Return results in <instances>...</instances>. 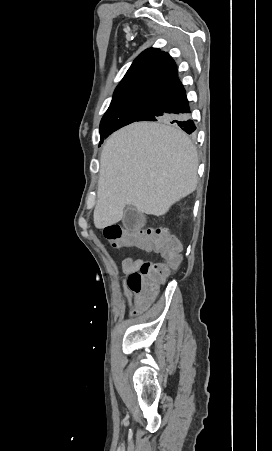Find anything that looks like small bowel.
Here are the masks:
<instances>
[{
  "instance_id": "small-bowel-1",
  "label": "small bowel",
  "mask_w": 272,
  "mask_h": 451,
  "mask_svg": "<svg viewBox=\"0 0 272 451\" xmlns=\"http://www.w3.org/2000/svg\"><path fill=\"white\" fill-rule=\"evenodd\" d=\"M127 272H128V270H123V273L127 276ZM126 279H127V277H126ZM126 279L124 280V282H123V288H124V295H125V297H126V299L129 301V302H134L135 303V306H136V308H135V310L132 312V314H136L137 312H140L141 310H143V309H139V307H138V302H139V300H132V296L131 295H128V289H126Z\"/></svg>"
}]
</instances>
